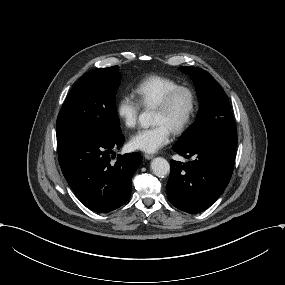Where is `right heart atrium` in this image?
<instances>
[{"label": "right heart atrium", "instance_id": "right-heart-atrium-1", "mask_svg": "<svg viewBox=\"0 0 285 285\" xmlns=\"http://www.w3.org/2000/svg\"><path fill=\"white\" fill-rule=\"evenodd\" d=\"M142 111V105L131 91L122 96L118 103V114L127 127H135Z\"/></svg>", "mask_w": 285, "mask_h": 285}]
</instances>
